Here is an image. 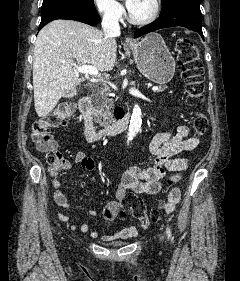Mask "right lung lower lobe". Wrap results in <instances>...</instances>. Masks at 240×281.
Masks as SVG:
<instances>
[{
  "instance_id": "obj_1",
  "label": "right lung lower lobe",
  "mask_w": 240,
  "mask_h": 281,
  "mask_svg": "<svg viewBox=\"0 0 240 281\" xmlns=\"http://www.w3.org/2000/svg\"><path fill=\"white\" fill-rule=\"evenodd\" d=\"M56 19H69L80 21L91 26H95L100 21V16L97 12H80L74 9H57L41 16L39 29H42L47 23Z\"/></svg>"
}]
</instances>
